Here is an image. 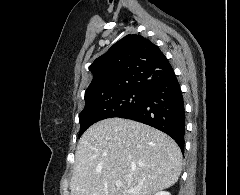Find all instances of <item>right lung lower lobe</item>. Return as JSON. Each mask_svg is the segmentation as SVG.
<instances>
[{"instance_id": "98d812e1", "label": "right lung lower lobe", "mask_w": 240, "mask_h": 195, "mask_svg": "<svg viewBox=\"0 0 240 195\" xmlns=\"http://www.w3.org/2000/svg\"><path fill=\"white\" fill-rule=\"evenodd\" d=\"M118 117L145 123L168 134L184 152V101L175 74L151 87L140 105Z\"/></svg>"}]
</instances>
